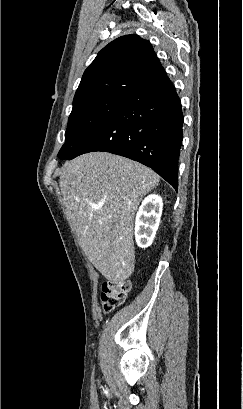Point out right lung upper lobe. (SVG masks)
Here are the masks:
<instances>
[{
	"mask_svg": "<svg viewBox=\"0 0 243 409\" xmlns=\"http://www.w3.org/2000/svg\"><path fill=\"white\" fill-rule=\"evenodd\" d=\"M166 76L152 45L125 35L105 46L85 70L73 104L102 98L126 99Z\"/></svg>",
	"mask_w": 243,
	"mask_h": 409,
	"instance_id": "cb5924a9",
	"label": "right lung upper lobe"
}]
</instances>
